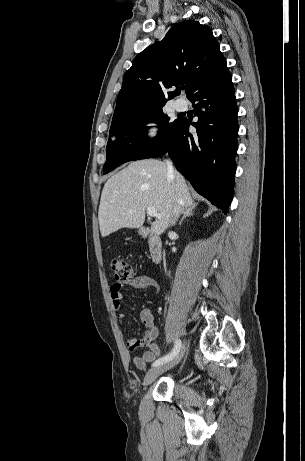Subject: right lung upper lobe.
<instances>
[{"mask_svg": "<svg viewBox=\"0 0 305 461\" xmlns=\"http://www.w3.org/2000/svg\"><path fill=\"white\" fill-rule=\"evenodd\" d=\"M229 72L220 46L207 26L186 20L174 25L165 38L147 47L125 73L112 125L162 107L163 89L188 86V98ZM177 90L168 92L171 99Z\"/></svg>", "mask_w": 305, "mask_h": 461, "instance_id": "1", "label": "right lung upper lobe"}]
</instances>
